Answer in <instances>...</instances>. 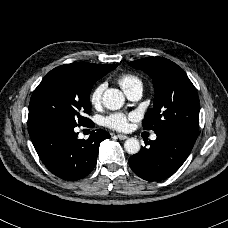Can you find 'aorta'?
<instances>
[{
	"label": "aorta",
	"mask_w": 228,
	"mask_h": 228,
	"mask_svg": "<svg viewBox=\"0 0 228 228\" xmlns=\"http://www.w3.org/2000/svg\"><path fill=\"white\" fill-rule=\"evenodd\" d=\"M125 97L119 89L110 88L103 94V104L109 110H118L124 105ZM129 154H136L140 150V143L135 138H129L124 143Z\"/></svg>",
	"instance_id": "obj_1"
}]
</instances>
